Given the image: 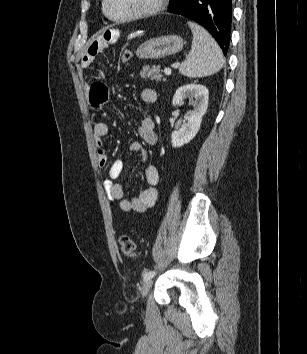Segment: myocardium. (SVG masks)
<instances>
[{
	"mask_svg": "<svg viewBox=\"0 0 307 354\" xmlns=\"http://www.w3.org/2000/svg\"><path fill=\"white\" fill-rule=\"evenodd\" d=\"M165 0H154L153 3L146 9L131 14V15H126V16H116L114 15L109 7V0H103V10L105 15L115 21V22H129V21H134V20H138V19H142L145 17H149L151 15L156 14L157 12H159L163 5H164Z\"/></svg>",
	"mask_w": 307,
	"mask_h": 354,
	"instance_id": "f54148a6",
	"label": "myocardium"
}]
</instances>
